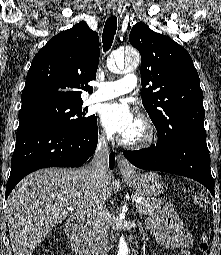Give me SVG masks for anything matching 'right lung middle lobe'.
I'll use <instances>...</instances> for the list:
<instances>
[{
    "label": "right lung middle lobe",
    "instance_id": "1",
    "mask_svg": "<svg viewBox=\"0 0 221 255\" xmlns=\"http://www.w3.org/2000/svg\"><path fill=\"white\" fill-rule=\"evenodd\" d=\"M81 102L45 103L21 109L19 120H36L55 124L59 127L80 131L88 129L95 122L94 115L85 117Z\"/></svg>",
    "mask_w": 221,
    "mask_h": 255
}]
</instances>
